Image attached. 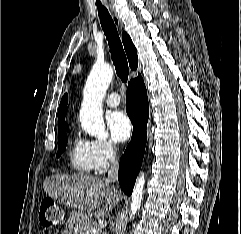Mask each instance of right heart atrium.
Returning a JSON list of instances; mask_svg holds the SVG:
<instances>
[{"instance_id": "obj_1", "label": "right heart atrium", "mask_w": 241, "mask_h": 234, "mask_svg": "<svg viewBox=\"0 0 241 234\" xmlns=\"http://www.w3.org/2000/svg\"><path fill=\"white\" fill-rule=\"evenodd\" d=\"M95 171H104L117 157L118 147L113 140H92Z\"/></svg>"}]
</instances>
